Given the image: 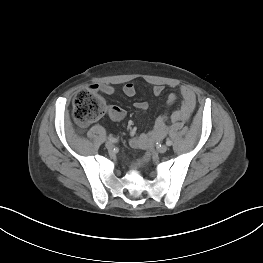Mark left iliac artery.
<instances>
[{"label":"left iliac artery","instance_id":"obj_1","mask_svg":"<svg viewBox=\"0 0 263 263\" xmlns=\"http://www.w3.org/2000/svg\"><path fill=\"white\" fill-rule=\"evenodd\" d=\"M166 145L171 146V145H172V141L169 140V139H167V140H166Z\"/></svg>","mask_w":263,"mask_h":263}]
</instances>
